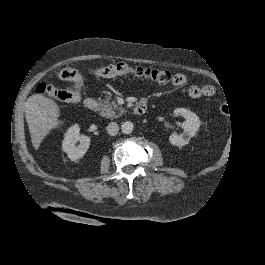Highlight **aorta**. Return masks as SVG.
I'll return each instance as SVG.
<instances>
[{
  "label": "aorta",
  "mask_w": 265,
  "mask_h": 265,
  "mask_svg": "<svg viewBox=\"0 0 265 265\" xmlns=\"http://www.w3.org/2000/svg\"><path fill=\"white\" fill-rule=\"evenodd\" d=\"M121 129H122L123 134L128 135V134H131L133 132L134 126H133L132 122L125 121L122 123Z\"/></svg>",
  "instance_id": "aorta-1"
}]
</instances>
